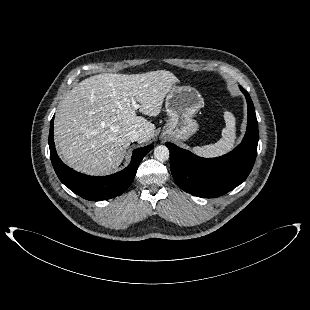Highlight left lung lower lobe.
Returning a JSON list of instances; mask_svg holds the SVG:
<instances>
[{
	"mask_svg": "<svg viewBox=\"0 0 310 310\" xmlns=\"http://www.w3.org/2000/svg\"><path fill=\"white\" fill-rule=\"evenodd\" d=\"M248 104V124L241 144L217 158H201L188 150L166 143L171 173L184 191L203 198L221 196L245 181L257 155L258 122L252 100L240 86Z\"/></svg>",
	"mask_w": 310,
	"mask_h": 310,
	"instance_id": "obj_1",
	"label": "left lung lower lobe"
}]
</instances>
